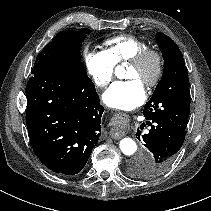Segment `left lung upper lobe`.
Segmentation results:
<instances>
[{"mask_svg":"<svg viewBox=\"0 0 211 211\" xmlns=\"http://www.w3.org/2000/svg\"><path fill=\"white\" fill-rule=\"evenodd\" d=\"M157 44L164 59L163 75L151 99L145 104L146 120L163 118L171 120L184 129L190 112L189 78L183 55L177 44L165 34H156ZM136 175L134 169L130 168Z\"/></svg>","mask_w":211,"mask_h":211,"instance_id":"obj_1","label":"left lung upper lobe"}]
</instances>
